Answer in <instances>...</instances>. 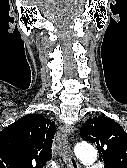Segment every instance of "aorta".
I'll list each match as a JSON object with an SVG mask.
<instances>
[{"mask_svg":"<svg viewBox=\"0 0 127 168\" xmlns=\"http://www.w3.org/2000/svg\"><path fill=\"white\" fill-rule=\"evenodd\" d=\"M75 154L77 158L82 162L84 165H91L97 159V152L95 148L86 142L79 143L75 147Z\"/></svg>","mask_w":127,"mask_h":168,"instance_id":"762f6f07","label":"aorta"}]
</instances>
